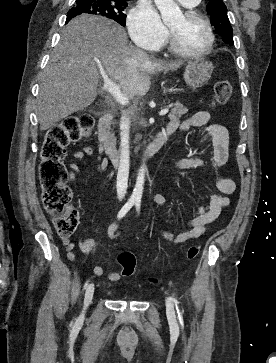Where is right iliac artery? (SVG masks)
<instances>
[{"instance_id":"82829eb1","label":"right iliac artery","mask_w":276,"mask_h":363,"mask_svg":"<svg viewBox=\"0 0 276 363\" xmlns=\"http://www.w3.org/2000/svg\"><path fill=\"white\" fill-rule=\"evenodd\" d=\"M135 201L134 200H128L127 203L122 207V209L119 211L118 215H117V218L118 219H121L131 208L132 206L134 205ZM88 283L89 281H87L85 284H84V289L87 288L88 286Z\"/></svg>"}]
</instances>
